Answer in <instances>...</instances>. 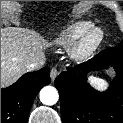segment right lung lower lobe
Returning <instances> with one entry per match:
<instances>
[{
    "instance_id": "obj_1",
    "label": "right lung lower lobe",
    "mask_w": 123,
    "mask_h": 123,
    "mask_svg": "<svg viewBox=\"0 0 123 123\" xmlns=\"http://www.w3.org/2000/svg\"><path fill=\"white\" fill-rule=\"evenodd\" d=\"M50 83L49 68L24 74L12 86L1 89V123H27L33 101Z\"/></svg>"
}]
</instances>
